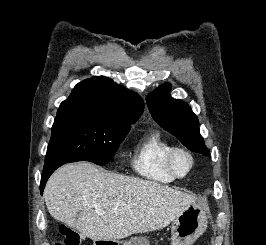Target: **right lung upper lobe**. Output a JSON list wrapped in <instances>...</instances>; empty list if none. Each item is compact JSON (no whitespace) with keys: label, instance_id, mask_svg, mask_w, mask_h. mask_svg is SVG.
Wrapping results in <instances>:
<instances>
[{"label":"right lung upper lobe","instance_id":"obj_1","mask_svg":"<svg viewBox=\"0 0 266 245\" xmlns=\"http://www.w3.org/2000/svg\"><path fill=\"white\" fill-rule=\"evenodd\" d=\"M144 109L142 98L112 79L96 76L78 83L58 109L57 116L94 113L115 121L134 123Z\"/></svg>","mask_w":266,"mask_h":245}]
</instances>
